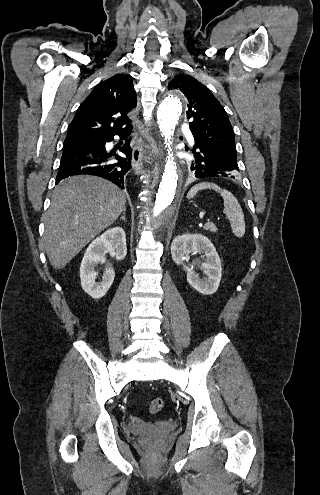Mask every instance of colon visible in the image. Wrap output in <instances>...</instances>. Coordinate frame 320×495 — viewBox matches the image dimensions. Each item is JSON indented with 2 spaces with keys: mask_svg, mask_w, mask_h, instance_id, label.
I'll return each instance as SVG.
<instances>
[{
  "mask_svg": "<svg viewBox=\"0 0 320 495\" xmlns=\"http://www.w3.org/2000/svg\"><path fill=\"white\" fill-rule=\"evenodd\" d=\"M163 400L156 398L148 403V412L152 415L158 414L163 408Z\"/></svg>",
  "mask_w": 320,
  "mask_h": 495,
  "instance_id": "1",
  "label": "colon"
}]
</instances>
